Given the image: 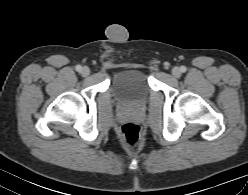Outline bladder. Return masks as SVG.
<instances>
[{
  "label": "bladder",
  "instance_id": "obj_1",
  "mask_svg": "<svg viewBox=\"0 0 248 195\" xmlns=\"http://www.w3.org/2000/svg\"><path fill=\"white\" fill-rule=\"evenodd\" d=\"M115 95L127 103L144 101L150 91L149 79L141 68H123L112 79Z\"/></svg>",
  "mask_w": 248,
  "mask_h": 195
}]
</instances>
